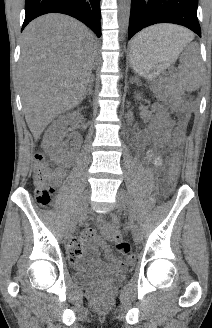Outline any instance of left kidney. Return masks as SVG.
<instances>
[{
  "label": "left kidney",
  "mask_w": 212,
  "mask_h": 328,
  "mask_svg": "<svg viewBox=\"0 0 212 328\" xmlns=\"http://www.w3.org/2000/svg\"><path fill=\"white\" fill-rule=\"evenodd\" d=\"M140 98L141 97L138 96V99ZM155 108L157 109V114L153 119L152 123L156 127V129L162 133L163 138H166L171 132L173 123L166 110H164L160 105H156Z\"/></svg>",
  "instance_id": "5707ae66"
}]
</instances>
